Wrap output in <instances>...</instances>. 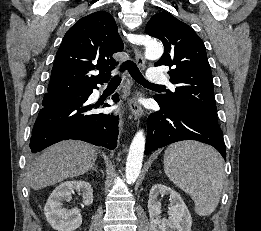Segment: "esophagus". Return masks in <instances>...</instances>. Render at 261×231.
Instances as JSON below:
<instances>
[{"label":"esophagus","instance_id":"esophagus-1","mask_svg":"<svg viewBox=\"0 0 261 231\" xmlns=\"http://www.w3.org/2000/svg\"><path fill=\"white\" fill-rule=\"evenodd\" d=\"M137 40L138 37L135 34H132L130 37V42L132 43L134 49L136 63L138 66L143 67L145 64V58L137 47ZM129 107L135 119H139L143 115V109L141 105L136 101V98L134 96H132L129 100Z\"/></svg>","mask_w":261,"mask_h":231}]
</instances>
